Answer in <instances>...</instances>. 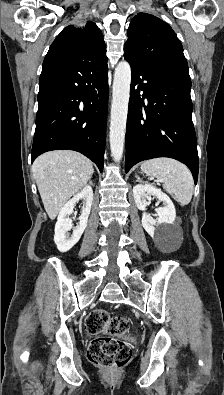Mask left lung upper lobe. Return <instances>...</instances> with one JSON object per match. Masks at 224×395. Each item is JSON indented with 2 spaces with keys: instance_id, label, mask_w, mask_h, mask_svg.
Segmentation results:
<instances>
[{
  "instance_id": "1",
  "label": "left lung upper lobe",
  "mask_w": 224,
  "mask_h": 395,
  "mask_svg": "<svg viewBox=\"0 0 224 395\" xmlns=\"http://www.w3.org/2000/svg\"><path fill=\"white\" fill-rule=\"evenodd\" d=\"M127 36L124 56L190 79L182 44L167 23L151 14L139 13L131 20Z\"/></svg>"
}]
</instances>
